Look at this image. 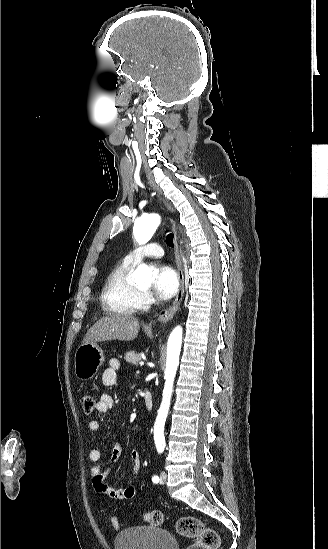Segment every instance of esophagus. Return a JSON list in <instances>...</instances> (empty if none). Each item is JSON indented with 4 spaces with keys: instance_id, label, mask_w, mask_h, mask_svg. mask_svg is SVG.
<instances>
[{
    "instance_id": "34e87169",
    "label": "esophagus",
    "mask_w": 328,
    "mask_h": 549,
    "mask_svg": "<svg viewBox=\"0 0 328 549\" xmlns=\"http://www.w3.org/2000/svg\"><path fill=\"white\" fill-rule=\"evenodd\" d=\"M173 232H174V246H175V258L177 263V274H178V280H179V287L176 294V298L174 299V302L169 309L163 310L160 312L158 320L162 323L167 322L168 320L172 319L174 315L176 314L182 298L184 294V276L182 271V265H181V258L179 254V247L177 242V228L176 225L173 223Z\"/></svg>"
}]
</instances>
